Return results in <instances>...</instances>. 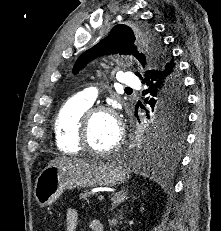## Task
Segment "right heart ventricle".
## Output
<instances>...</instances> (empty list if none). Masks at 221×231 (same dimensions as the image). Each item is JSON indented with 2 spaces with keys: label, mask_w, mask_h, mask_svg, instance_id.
Instances as JSON below:
<instances>
[{
  "label": "right heart ventricle",
  "mask_w": 221,
  "mask_h": 231,
  "mask_svg": "<svg viewBox=\"0 0 221 231\" xmlns=\"http://www.w3.org/2000/svg\"><path fill=\"white\" fill-rule=\"evenodd\" d=\"M91 104L78 96L68 99L60 108L54 121L56 146L65 154H76L82 150L78 142L79 122Z\"/></svg>",
  "instance_id": "right-heart-ventricle-1"
}]
</instances>
